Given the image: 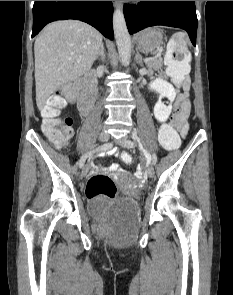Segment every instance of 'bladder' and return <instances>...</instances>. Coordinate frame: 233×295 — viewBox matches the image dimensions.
I'll return each mask as SVG.
<instances>
[{
	"label": "bladder",
	"mask_w": 233,
	"mask_h": 295,
	"mask_svg": "<svg viewBox=\"0 0 233 295\" xmlns=\"http://www.w3.org/2000/svg\"><path fill=\"white\" fill-rule=\"evenodd\" d=\"M106 212H120L123 214H133L137 211V204L133 199L124 198L117 201L115 204L106 208Z\"/></svg>",
	"instance_id": "31cf9c89"
}]
</instances>
